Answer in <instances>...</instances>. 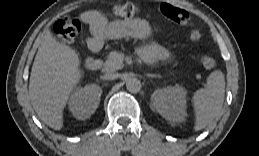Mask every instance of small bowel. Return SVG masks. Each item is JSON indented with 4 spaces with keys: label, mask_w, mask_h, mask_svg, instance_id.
I'll use <instances>...</instances> for the list:
<instances>
[{
    "label": "small bowel",
    "mask_w": 259,
    "mask_h": 156,
    "mask_svg": "<svg viewBox=\"0 0 259 156\" xmlns=\"http://www.w3.org/2000/svg\"><path fill=\"white\" fill-rule=\"evenodd\" d=\"M81 20L91 30V37L88 39L89 47L95 41H98L101 45L103 40L109 38L133 37L146 39L152 34L149 22L142 18L108 21L101 11L89 10L81 15ZM148 56L160 60L170 58L169 52L158 44L152 45V51Z\"/></svg>",
    "instance_id": "small-bowel-1"
}]
</instances>
